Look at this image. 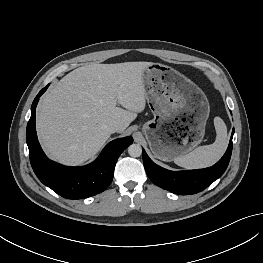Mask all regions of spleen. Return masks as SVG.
I'll return each mask as SVG.
<instances>
[{
    "label": "spleen",
    "instance_id": "obj_1",
    "mask_svg": "<svg viewBox=\"0 0 263 263\" xmlns=\"http://www.w3.org/2000/svg\"><path fill=\"white\" fill-rule=\"evenodd\" d=\"M216 140L213 144L197 147L190 153L177 157L174 163L185 169H201L215 164L228 145L227 127L220 117L214 118Z\"/></svg>",
    "mask_w": 263,
    "mask_h": 263
}]
</instances>
